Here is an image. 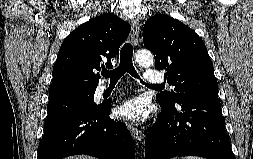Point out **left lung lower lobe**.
<instances>
[{"label":"left lung lower lobe","instance_id":"left-lung-lower-lobe-1","mask_svg":"<svg viewBox=\"0 0 253 159\" xmlns=\"http://www.w3.org/2000/svg\"><path fill=\"white\" fill-rule=\"evenodd\" d=\"M177 105L178 109L160 103L162 112L146 137L145 159H235L217 97L184 98Z\"/></svg>","mask_w":253,"mask_h":159}]
</instances>
